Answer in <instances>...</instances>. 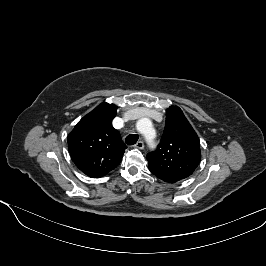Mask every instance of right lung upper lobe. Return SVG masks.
<instances>
[{"label": "right lung upper lobe", "instance_id": "right-lung-upper-lobe-1", "mask_svg": "<svg viewBox=\"0 0 266 266\" xmlns=\"http://www.w3.org/2000/svg\"><path fill=\"white\" fill-rule=\"evenodd\" d=\"M117 107L101 103L84 116L68 135V149L75 165L87 176L99 178L121 162L126 145L111 125Z\"/></svg>", "mask_w": 266, "mask_h": 266}]
</instances>
